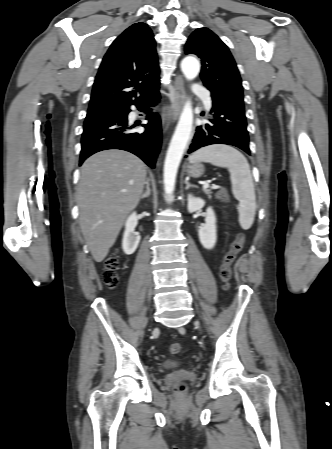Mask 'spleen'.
I'll return each mask as SVG.
<instances>
[{"label":"spleen","mask_w":332,"mask_h":449,"mask_svg":"<svg viewBox=\"0 0 332 449\" xmlns=\"http://www.w3.org/2000/svg\"><path fill=\"white\" fill-rule=\"evenodd\" d=\"M191 163L206 162L225 167L230 173L232 193L239 201V223L243 229H249L256 212L255 189L246 158L235 148L228 145H211L199 149L190 157Z\"/></svg>","instance_id":"3e777b00"}]
</instances>
